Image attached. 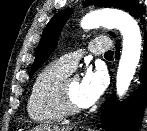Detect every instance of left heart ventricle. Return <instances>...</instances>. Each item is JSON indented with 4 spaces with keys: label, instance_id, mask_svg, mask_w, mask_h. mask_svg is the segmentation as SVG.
<instances>
[{
    "label": "left heart ventricle",
    "instance_id": "1",
    "mask_svg": "<svg viewBox=\"0 0 147 131\" xmlns=\"http://www.w3.org/2000/svg\"><path fill=\"white\" fill-rule=\"evenodd\" d=\"M68 92H69L71 100L75 104L79 105V103H78L79 79L78 78H73L69 81Z\"/></svg>",
    "mask_w": 147,
    "mask_h": 131
}]
</instances>
